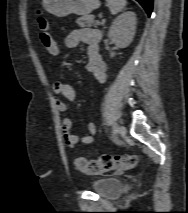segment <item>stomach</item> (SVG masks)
<instances>
[{
	"label": "stomach",
	"mask_w": 188,
	"mask_h": 213,
	"mask_svg": "<svg viewBox=\"0 0 188 213\" xmlns=\"http://www.w3.org/2000/svg\"><path fill=\"white\" fill-rule=\"evenodd\" d=\"M100 5L99 0H43V8L57 16L65 17L69 14L88 15Z\"/></svg>",
	"instance_id": "stomach-1"
}]
</instances>
